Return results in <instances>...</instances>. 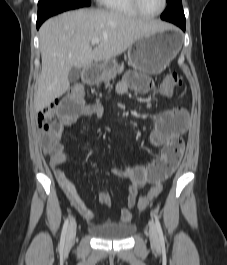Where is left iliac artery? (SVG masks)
Wrapping results in <instances>:
<instances>
[{"mask_svg": "<svg viewBox=\"0 0 227 265\" xmlns=\"http://www.w3.org/2000/svg\"><path fill=\"white\" fill-rule=\"evenodd\" d=\"M152 216L155 219V225H156V228H157V231H158L160 242L163 243L164 242V235H163V231H162V228H161V225H160V222H159V218L155 214V212H152Z\"/></svg>", "mask_w": 227, "mask_h": 265, "instance_id": "1", "label": "left iliac artery"}]
</instances>
